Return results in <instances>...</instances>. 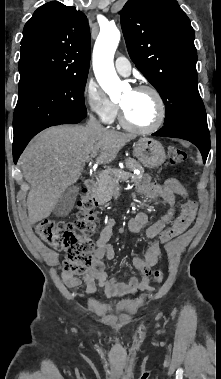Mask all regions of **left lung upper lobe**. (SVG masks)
Segmentation results:
<instances>
[{
    "label": "left lung upper lobe",
    "mask_w": 221,
    "mask_h": 379,
    "mask_svg": "<svg viewBox=\"0 0 221 379\" xmlns=\"http://www.w3.org/2000/svg\"><path fill=\"white\" fill-rule=\"evenodd\" d=\"M119 16L132 61L164 101V124H207L197 88L194 29L178 2L128 0Z\"/></svg>",
    "instance_id": "5c2ea615"
}]
</instances>
